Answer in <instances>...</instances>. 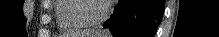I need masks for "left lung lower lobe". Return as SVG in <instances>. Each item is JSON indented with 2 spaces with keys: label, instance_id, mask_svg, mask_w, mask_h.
<instances>
[{
  "label": "left lung lower lobe",
  "instance_id": "obj_1",
  "mask_svg": "<svg viewBox=\"0 0 219 37\" xmlns=\"http://www.w3.org/2000/svg\"><path fill=\"white\" fill-rule=\"evenodd\" d=\"M165 0H119L104 24L113 37H153L164 13Z\"/></svg>",
  "mask_w": 219,
  "mask_h": 37
}]
</instances>
